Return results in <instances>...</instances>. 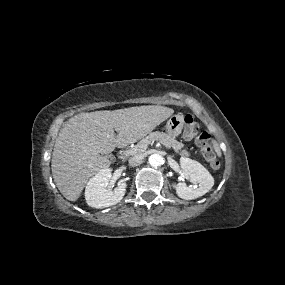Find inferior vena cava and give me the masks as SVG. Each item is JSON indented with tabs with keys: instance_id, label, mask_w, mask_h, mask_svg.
Wrapping results in <instances>:
<instances>
[{
	"instance_id": "inferior-vena-cava-1",
	"label": "inferior vena cava",
	"mask_w": 285,
	"mask_h": 285,
	"mask_svg": "<svg viewBox=\"0 0 285 285\" xmlns=\"http://www.w3.org/2000/svg\"><path fill=\"white\" fill-rule=\"evenodd\" d=\"M142 159L143 158L141 156H139V155L131 157L129 159V165H131V166H138V165H140L142 163Z\"/></svg>"
}]
</instances>
